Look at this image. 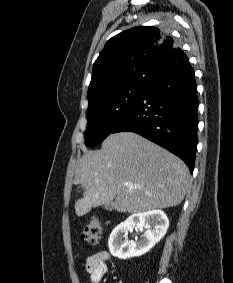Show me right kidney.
Instances as JSON below:
<instances>
[{
	"label": "right kidney",
	"instance_id": "obj_1",
	"mask_svg": "<svg viewBox=\"0 0 233 283\" xmlns=\"http://www.w3.org/2000/svg\"><path fill=\"white\" fill-rule=\"evenodd\" d=\"M169 220L161 210L135 213L120 223L110 234L108 246L110 253L120 259L139 257L150 251L166 234ZM132 228L144 231L142 238L128 241V232Z\"/></svg>",
	"mask_w": 233,
	"mask_h": 283
}]
</instances>
